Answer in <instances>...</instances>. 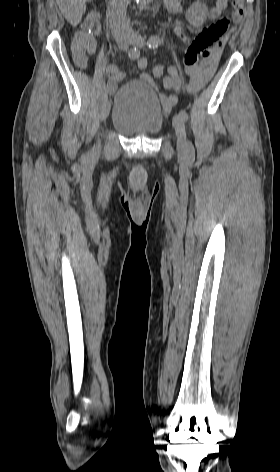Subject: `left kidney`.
Here are the masks:
<instances>
[{
	"mask_svg": "<svg viewBox=\"0 0 280 472\" xmlns=\"http://www.w3.org/2000/svg\"><path fill=\"white\" fill-rule=\"evenodd\" d=\"M206 13L207 6L197 1L188 9V21L195 27L202 26L205 21Z\"/></svg>",
	"mask_w": 280,
	"mask_h": 472,
	"instance_id": "5707ae66",
	"label": "left kidney"
}]
</instances>
